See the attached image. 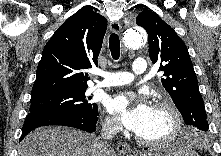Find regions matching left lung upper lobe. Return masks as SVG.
I'll return each instance as SVG.
<instances>
[{
    "mask_svg": "<svg viewBox=\"0 0 221 156\" xmlns=\"http://www.w3.org/2000/svg\"><path fill=\"white\" fill-rule=\"evenodd\" d=\"M149 37V57L160 63L161 82L187 125L208 130L207 115L197 77L182 39L155 12L145 10L136 18Z\"/></svg>",
    "mask_w": 221,
    "mask_h": 156,
    "instance_id": "1",
    "label": "left lung upper lobe"
}]
</instances>
